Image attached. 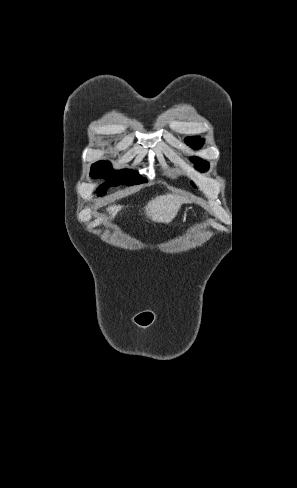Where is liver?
Here are the masks:
<instances>
[{"mask_svg":"<svg viewBox=\"0 0 297 488\" xmlns=\"http://www.w3.org/2000/svg\"><path fill=\"white\" fill-rule=\"evenodd\" d=\"M182 202L183 198L175 194L157 196L145 206V215L154 222H167L175 215ZM120 208L119 205H112L107 211L114 218Z\"/></svg>","mask_w":297,"mask_h":488,"instance_id":"1","label":"liver"}]
</instances>
